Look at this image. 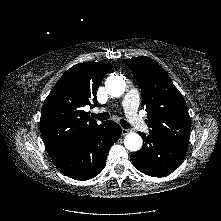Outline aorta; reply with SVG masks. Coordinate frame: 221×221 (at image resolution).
Here are the masks:
<instances>
[{
    "label": "aorta",
    "instance_id": "762f6f07",
    "mask_svg": "<svg viewBox=\"0 0 221 221\" xmlns=\"http://www.w3.org/2000/svg\"><path fill=\"white\" fill-rule=\"evenodd\" d=\"M105 89L111 97H121L126 89L124 79L118 75L110 76L105 81ZM125 147L133 152H136L142 147V138L137 133H129L124 138Z\"/></svg>",
    "mask_w": 221,
    "mask_h": 221
}]
</instances>
